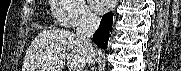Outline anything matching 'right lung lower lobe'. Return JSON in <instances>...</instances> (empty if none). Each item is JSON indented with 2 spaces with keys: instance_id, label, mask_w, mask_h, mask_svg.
<instances>
[{
  "instance_id": "98d812e1",
  "label": "right lung lower lobe",
  "mask_w": 181,
  "mask_h": 71,
  "mask_svg": "<svg viewBox=\"0 0 181 71\" xmlns=\"http://www.w3.org/2000/svg\"><path fill=\"white\" fill-rule=\"evenodd\" d=\"M113 14L111 12L102 17L98 30L94 33V42L101 48H106L112 30Z\"/></svg>"
}]
</instances>
